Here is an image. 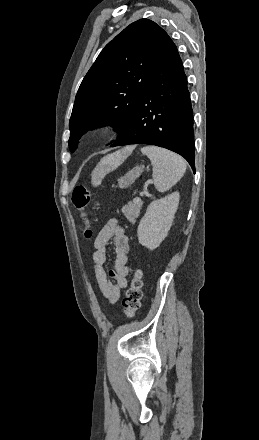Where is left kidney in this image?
<instances>
[{"mask_svg":"<svg viewBox=\"0 0 259 440\" xmlns=\"http://www.w3.org/2000/svg\"><path fill=\"white\" fill-rule=\"evenodd\" d=\"M179 198V192H173L148 205L137 230L138 240L142 246L154 250L165 239L172 226Z\"/></svg>","mask_w":259,"mask_h":440,"instance_id":"left-kidney-1","label":"left kidney"}]
</instances>
